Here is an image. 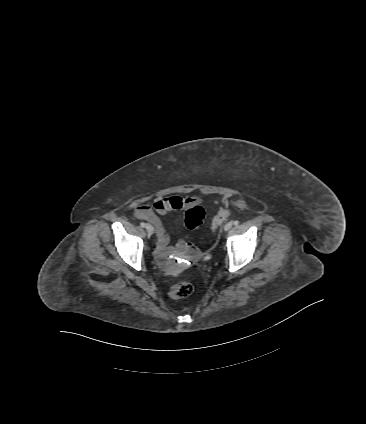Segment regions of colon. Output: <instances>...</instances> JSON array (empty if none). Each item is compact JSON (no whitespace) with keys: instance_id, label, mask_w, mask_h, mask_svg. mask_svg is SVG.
I'll return each instance as SVG.
<instances>
[{"instance_id":"colon-1","label":"colon","mask_w":366,"mask_h":424,"mask_svg":"<svg viewBox=\"0 0 366 424\" xmlns=\"http://www.w3.org/2000/svg\"><path fill=\"white\" fill-rule=\"evenodd\" d=\"M230 209H221L214 216L211 222V229L215 230L220 226L230 215ZM205 217L204 209L195 205L190 207L185 212V224L189 229H195L203 222ZM189 252L192 255L197 254V249L194 246H189ZM193 286L188 282H181L171 287L169 294L173 298H184L192 294Z\"/></svg>"}]
</instances>
